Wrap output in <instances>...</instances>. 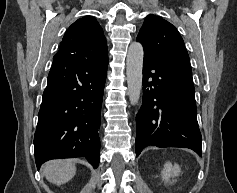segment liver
Wrapping results in <instances>:
<instances>
[{"label": "liver", "instance_id": "obj_1", "mask_svg": "<svg viewBox=\"0 0 237 193\" xmlns=\"http://www.w3.org/2000/svg\"><path fill=\"white\" fill-rule=\"evenodd\" d=\"M42 172L49 182L60 186L75 176L76 167L71 160H52L43 165Z\"/></svg>", "mask_w": 237, "mask_h": 193}]
</instances>
